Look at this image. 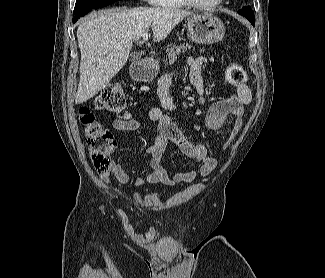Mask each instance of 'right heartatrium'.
<instances>
[{"label": "right heart atrium", "mask_w": 325, "mask_h": 278, "mask_svg": "<svg viewBox=\"0 0 325 278\" xmlns=\"http://www.w3.org/2000/svg\"><path fill=\"white\" fill-rule=\"evenodd\" d=\"M143 1H145V2H149L150 4H155V1H156V0H143Z\"/></svg>", "instance_id": "right-heart-atrium-1"}]
</instances>
